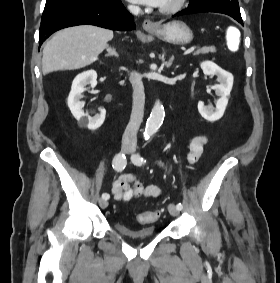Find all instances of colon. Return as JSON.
<instances>
[{"label":"colon","instance_id":"1","mask_svg":"<svg viewBox=\"0 0 280 283\" xmlns=\"http://www.w3.org/2000/svg\"><path fill=\"white\" fill-rule=\"evenodd\" d=\"M225 33L228 42L229 51H239L241 47V37H244V32H239L238 25H226ZM161 215V211H146L136 214L137 222L148 224L156 221Z\"/></svg>","mask_w":280,"mask_h":283}]
</instances>
